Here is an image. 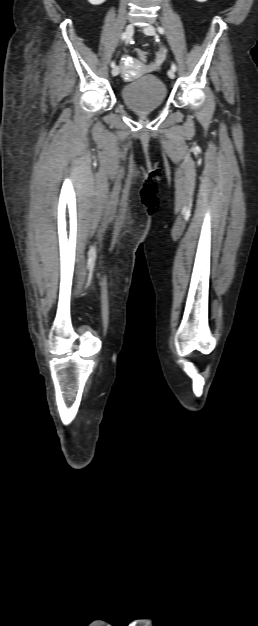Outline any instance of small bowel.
Wrapping results in <instances>:
<instances>
[{
    "label": "small bowel",
    "mask_w": 258,
    "mask_h": 626,
    "mask_svg": "<svg viewBox=\"0 0 258 626\" xmlns=\"http://www.w3.org/2000/svg\"><path fill=\"white\" fill-rule=\"evenodd\" d=\"M164 58H165V50L161 49L157 55L156 61L152 65L148 66L147 68L151 70L158 69L161 62L164 60ZM139 65L140 63L132 58H126L124 60V66L127 71H131L132 68L139 67Z\"/></svg>",
    "instance_id": "small-bowel-1"
}]
</instances>
